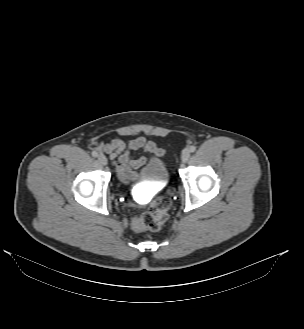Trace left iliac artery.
I'll list each match as a JSON object with an SVG mask.
<instances>
[{
    "label": "left iliac artery",
    "instance_id": "left-iliac-artery-1",
    "mask_svg": "<svg viewBox=\"0 0 304 329\" xmlns=\"http://www.w3.org/2000/svg\"><path fill=\"white\" fill-rule=\"evenodd\" d=\"M189 150H190V152H195L196 151V147L195 146H190V148H189Z\"/></svg>",
    "mask_w": 304,
    "mask_h": 329
}]
</instances>
